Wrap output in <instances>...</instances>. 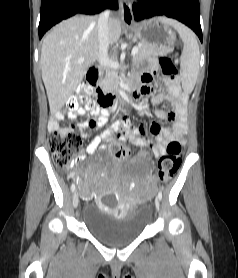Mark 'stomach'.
Returning <instances> with one entry per match:
<instances>
[{"label": "stomach", "instance_id": "1", "mask_svg": "<svg viewBox=\"0 0 238 278\" xmlns=\"http://www.w3.org/2000/svg\"><path fill=\"white\" fill-rule=\"evenodd\" d=\"M135 36L142 44L151 45L160 50L171 49L176 42V33L161 18L143 21L132 27Z\"/></svg>", "mask_w": 238, "mask_h": 278}]
</instances>
